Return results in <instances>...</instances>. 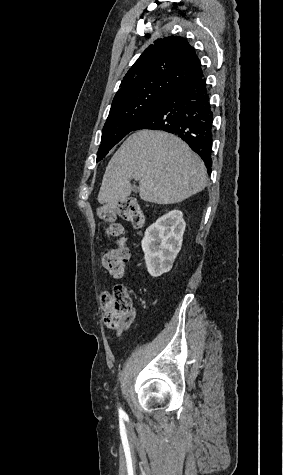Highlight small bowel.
<instances>
[{
    "instance_id": "c3829d8e",
    "label": "small bowel",
    "mask_w": 283,
    "mask_h": 475,
    "mask_svg": "<svg viewBox=\"0 0 283 475\" xmlns=\"http://www.w3.org/2000/svg\"><path fill=\"white\" fill-rule=\"evenodd\" d=\"M117 335L120 336V335H121V332L119 331V332L117 333Z\"/></svg>"
}]
</instances>
